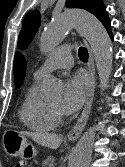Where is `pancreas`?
Wrapping results in <instances>:
<instances>
[{"mask_svg": "<svg viewBox=\"0 0 125 167\" xmlns=\"http://www.w3.org/2000/svg\"><path fill=\"white\" fill-rule=\"evenodd\" d=\"M53 161H54V157L52 156L47 157L45 160H43L42 167H50V165L53 164Z\"/></svg>", "mask_w": 125, "mask_h": 167, "instance_id": "cf45deb5", "label": "pancreas"}]
</instances>
